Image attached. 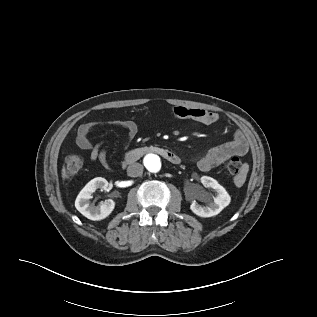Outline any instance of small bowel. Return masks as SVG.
Returning <instances> with one entry per match:
<instances>
[{"mask_svg":"<svg viewBox=\"0 0 317 317\" xmlns=\"http://www.w3.org/2000/svg\"><path fill=\"white\" fill-rule=\"evenodd\" d=\"M173 114L176 118L192 119L204 125H212L219 119V115L216 112L196 107L176 106L173 108ZM115 124L126 130L129 140L133 139L138 133V127L134 121L120 120L116 121ZM95 129L96 126L94 124H82L77 130L75 143L80 149L90 153L92 161H98L104 168L109 169L105 144L102 142L92 143L89 139V134ZM248 149L249 145L245 135L237 130L232 141L210 149L197 161V167L202 172H208L229 158L246 155ZM242 182L243 179L236 181L237 184Z\"/></svg>","mask_w":317,"mask_h":317,"instance_id":"obj_1","label":"small bowel"}]
</instances>
